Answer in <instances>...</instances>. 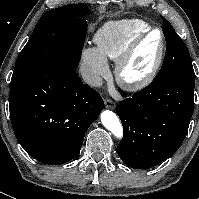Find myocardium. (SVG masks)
Returning a JSON list of instances; mask_svg holds the SVG:
<instances>
[{"label":"myocardium","instance_id":"myocardium-1","mask_svg":"<svg viewBox=\"0 0 199 199\" xmlns=\"http://www.w3.org/2000/svg\"><path fill=\"white\" fill-rule=\"evenodd\" d=\"M158 32L161 37V43L158 55L155 62L153 63L150 70L139 78H130L126 75V68L130 63L135 51L139 45L146 39L150 34ZM166 50V39L163 31L158 28H150L147 31L138 35L126 48L123 54L118 58L115 67V74L118 83L128 91H138L148 86L157 76L161 65L163 63L164 55Z\"/></svg>","mask_w":199,"mask_h":199}]
</instances>
